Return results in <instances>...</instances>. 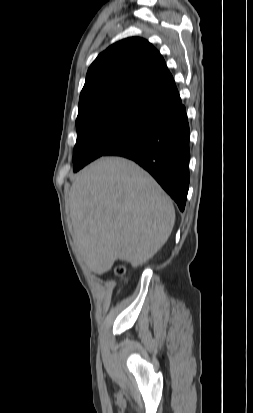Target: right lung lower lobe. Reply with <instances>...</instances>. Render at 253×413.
Returning <instances> with one entry per match:
<instances>
[{"label": "right lung lower lobe", "mask_w": 253, "mask_h": 413, "mask_svg": "<svg viewBox=\"0 0 253 413\" xmlns=\"http://www.w3.org/2000/svg\"><path fill=\"white\" fill-rule=\"evenodd\" d=\"M189 124L180 104L155 114L141 131L108 151L147 170L184 210L189 186Z\"/></svg>", "instance_id": "right-lung-lower-lobe-1"}]
</instances>
